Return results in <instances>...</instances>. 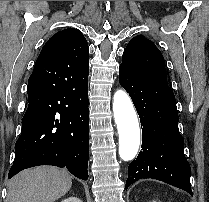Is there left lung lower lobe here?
<instances>
[{"label":"left lung lower lobe","instance_id":"left-lung-lower-lobe-1","mask_svg":"<svg viewBox=\"0 0 209 202\" xmlns=\"http://www.w3.org/2000/svg\"><path fill=\"white\" fill-rule=\"evenodd\" d=\"M119 82L129 93L143 126L142 150L128 167L126 189L139 179L152 178L193 195L172 89L123 68L119 70Z\"/></svg>","mask_w":209,"mask_h":202}]
</instances>
